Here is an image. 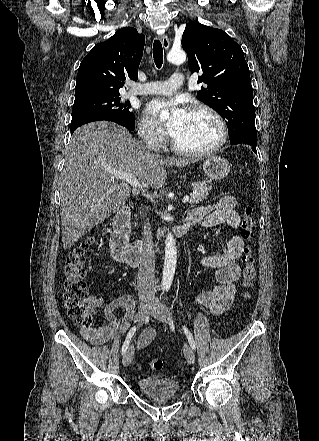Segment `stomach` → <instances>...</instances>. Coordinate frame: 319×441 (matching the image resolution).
Segmentation results:
<instances>
[{
	"mask_svg": "<svg viewBox=\"0 0 319 441\" xmlns=\"http://www.w3.org/2000/svg\"><path fill=\"white\" fill-rule=\"evenodd\" d=\"M203 169L211 179H222L230 172L229 163L221 157H209L203 163Z\"/></svg>",
	"mask_w": 319,
	"mask_h": 441,
	"instance_id": "1",
	"label": "stomach"
}]
</instances>
